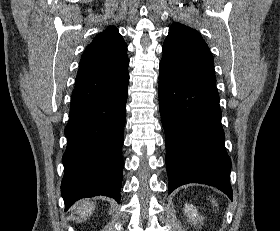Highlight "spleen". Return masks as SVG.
<instances>
[{"label":"spleen","instance_id":"1","mask_svg":"<svg viewBox=\"0 0 280 231\" xmlns=\"http://www.w3.org/2000/svg\"><path fill=\"white\" fill-rule=\"evenodd\" d=\"M212 201H213L214 205H218V203H215V199H212Z\"/></svg>","mask_w":280,"mask_h":231}]
</instances>
